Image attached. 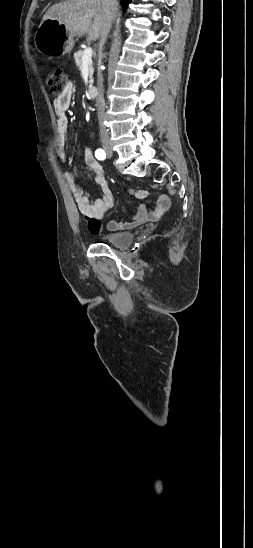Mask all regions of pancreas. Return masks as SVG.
Listing matches in <instances>:
<instances>
[{"label":"pancreas","instance_id":"obj_1","mask_svg":"<svg viewBox=\"0 0 253 548\" xmlns=\"http://www.w3.org/2000/svg\"><path fill=\"white\" fill-rule=\"evenodd\" d=\"M82 57H83V51H78L74 54V59H75V63H76V66L81 68L83 66V62H82ZM88 66V70H89V76H90V83L92 84L93 83V73H94V68H93V65H92V60H90L87 64Z\"/></svg>","mask_w":253,"mask_h":548}]
</instances>
